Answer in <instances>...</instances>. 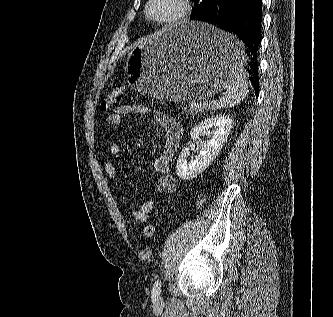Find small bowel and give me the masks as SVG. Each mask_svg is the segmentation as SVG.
I'll return each mask as SVG.
<instances>
[{
  "instance_id": "small-bowel-1",
  "label": "small bowel",
  "mask_w": 333,
  "mask_h": 317,
  "mask_svg": "<svg viewBox=\"0 0 333 317\" xmlns=\"http://www.w3.org/2000/svg\"><path fill=\"white\" fill-rule=\"evenodd\" d=\"M130 114H148L165 131V141L159 156L154 160V169L158 174V178L154 187L156 193L172 194L176 191L177 183L170 172V164L174 157L182 138L181 126L168 114L158 110L138 104H121L118 105L112 113L105 118L107 126H118L122 118ZM109 153L113 157H119L122 153L121 146L118 143H112L109 147ZM104 170L109 178L118 182V171L111 161L104 162ZM157 204L156 199L143 202L137 209L131 211V216L139 223H145L148 220L150 212H152Z\"/></svg>"
}]
</instances>
